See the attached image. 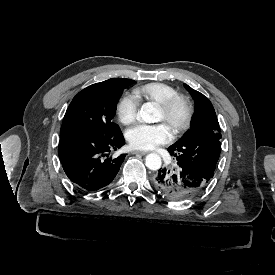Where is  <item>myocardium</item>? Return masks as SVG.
<instances>
[{"instance_id":"obj_1","label":"myocardium","mask_w":275,"mask_h":275,"mask_svg":"<svg viewBox=\"0 0 275 275\" xmlns=\"http://www.w3.org/2000/svg\"><path fill=\"white\" fill-rule=\"evenodd\" d=\"M158 104L165 114H170L178 105L182 106L184 111L183 119L175 127L174 135L177 136L189 129L193 120L194 108L192 102L186 96L175 94Z\"/></svg>"}]
</instances>
